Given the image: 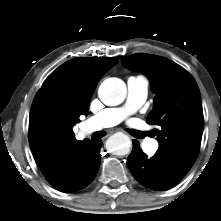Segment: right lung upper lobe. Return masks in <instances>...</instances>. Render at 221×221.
I'll return each mask as SVG.
<instances>
[{"instance_id":"1","label":"right lung upper lobe","mask_w":221,"mask_h":221,"mask_svg":"<svg viewBox=\"0 0 221 221\" xmlns=\"http://www.w3.org/2000/svg\"><path fill=\"white\" fill-rule=\"evenodd\" d=\"M116 58L78 57L67 61L44 81L32 103L29 144L46 178L55 180L91 140H76L73 126L88 115L92 94Z\"/></svg>"}]
</instances>
